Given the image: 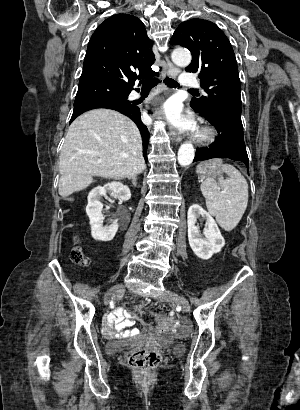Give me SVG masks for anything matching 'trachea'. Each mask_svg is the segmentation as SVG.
Returning a JSON list of instances; mask_svg holds the SVG:
<instances>
[{"label": "trachea", "mask_w": 300, "mask_h": 410, "mask_svg": "<svg viewBox=\"0 0 300 410\" xmlns=\"http://www.w3.org/2000/svg\"><path fill=\"white\" fill-rule=\"evenodd\" d=\"M159 83V79H156V78H152V79H148V80H145L144 82H143V84H142V90L143 91H150L154 86H156L157 84ZM164 83L168 86V87H171V88H175V87H180V85L177 83V81H175L174 79H172V78H169V77H166L165 79H164ZM189 91H192V92H198L197 90H195V89H190Z\"/></svg>", "instance_id": "1"}]
</instances>
